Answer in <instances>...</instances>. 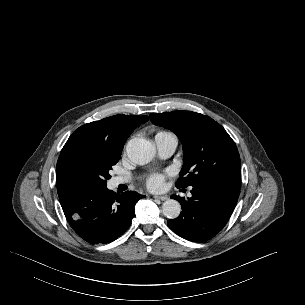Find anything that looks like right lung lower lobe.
Masks as SVG:
<instances>
[{"label":"right lung lower lobe","mask_w":305,"mask_h":305,"mask_svg":"<svg viewBox=\"0 0 305 305\" xmlns=\"http://www.w3.org/2000/svg\"><path fill=\"white\" fill-rule=\"evenodd\" d=\"M58 188L59 200L73 230L91 244L110 243L130 226L134 206L145 196L134 191L116 194L107 187Z\"/></svg>","instance_id":"98d812e1"}]
</instances>
